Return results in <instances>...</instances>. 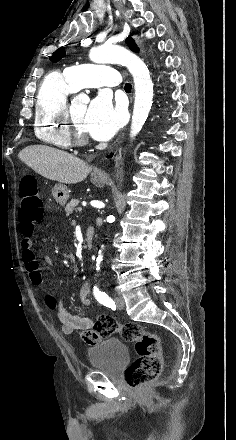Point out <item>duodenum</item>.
<instances>
[{"mask_svg":"<svg viewBox=\"0 0 236 440\" xmlns=\"http://www.w3.org/2000/svg\"><path fill=\"white\" fill-rule=\"evenodd\" d=\"M95 230L93 227L89 226L85 230V243L87 249H91L94 241Z\"/></svg>","mask_w":236,"mask_h":440,"instance_id":"duodenum-1","label":"duodenum"}]
</instances>
